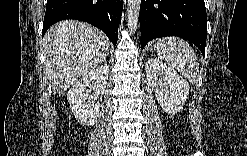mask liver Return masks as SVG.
Instances as JSON below:
<instances>
[{
	"label": "liver",
	"instance_id": "liver-1",
	"mask_svg": "<svg viewBox=\"0 0 247 156\" xmlns=\"http://www.w3.org/2000/svg\"><path fill=\"white\" fill-rule=\"evenodd\" d=\"M45 72L59 95L85 77L107 55L109 40L99 29L65 20L50 27L43 39Z\"/></svg>",
	"mask_w": 247,
	"mask_h": 156
}]
</instances>
